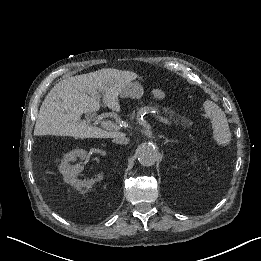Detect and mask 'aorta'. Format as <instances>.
<instances>
[{
  "label": "aorta",
  "mask_w": 261,
  "mask_h": 261,
  "mask_svg": "<svg viewBox=\"0 0 261 261\" xmlns=\"http://www.w3.org/2000/svg\"><path fill=\"white\" fill-rule=\"evenodd\" d=\"M138 160L142 166H152L156 162L157 152L151 145H143L137 149Z\"/></svg>",
  "instance_id": "aorta-1"
}]
</instances>
